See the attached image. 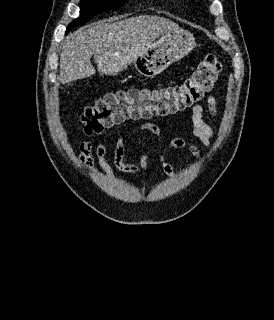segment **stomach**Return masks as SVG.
Instances as JSON below:
<instances>
[{
    "label": "stomach",
    "instance_id": "0dacf381",
    "mask_svg": "<svg viewBox=\"0 0 274 320\" xmlns=\"http://www.w3.org/2000/svg\"><path fill=\"white\" fill-rule=\"evenodd\" d=\"M195 38L187 30H171L147 48L142 56H137L133 64L141 76L155 78L173 62L185 58L195 48Z\"/></svg>",
    "mask_w": 274,
    "mask_h": 320
}]
</instances>
